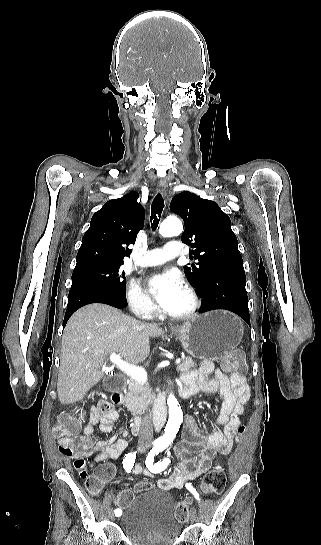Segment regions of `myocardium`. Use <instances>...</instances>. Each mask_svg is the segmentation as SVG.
Listing matches in <instances>:
<instances>
[{
  "mask_svg": "<svg viewBox=\"0 0 321 545\" xmlns=\"http://www.w3.org/2000/svg\"><path fill=\"white\" fill-rule=\"evenodd\" d=\"M191 297L192 306L184 313H166L168 317L176 320H188L194 317L202 306V300L197 290L190 284L185 283L182 287Z\"/></svg>",
  "mask_w": 321,
  "mask_h": 545,
  "instance_id": "myocardium-1",
  "label": "myocardium"
}]
</instances>
